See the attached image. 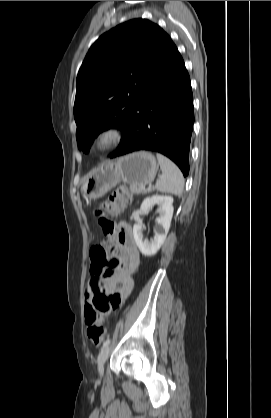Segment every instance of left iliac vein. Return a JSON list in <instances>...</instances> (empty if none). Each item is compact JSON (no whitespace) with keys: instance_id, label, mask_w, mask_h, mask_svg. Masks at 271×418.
<instances>
[{"instance_id":"4c4485c4","label":"left iliac vein","mask_w":271,"mask_h":418,"mask_svg":"<svg viewBox=\"0 0 271 418\" xmlns=\"http://www.w3.org/2000/svg\"><path fill=\"white\" fill-rule=\"evenodd\" d=\"M109 353H110V348H109V346H106V347L101 349V351L98 355L97 363H98V372H99L100 376L103 375L104 363L106 362V360L109 356Z\"/></svg>"}]
</instances>
